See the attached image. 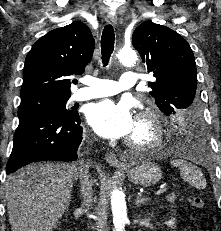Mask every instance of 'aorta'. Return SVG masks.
<instances>
[{
  "label": "aorta",
  "mask_w": 221,
  "mask_h": 231,
  "mask_svg": "<svg viewBox=\"0 0 221 231\" xmlns=\"http://www.w3.org/2000/svg\"><path fill=\"white\" fill-rule=\"evenodd\" d=\"M115 59L123 65H134L137 61V54L132 48H122L115 55ZM111 207L114 231H124L127 222V207L124 194L117 189L111 193Z\"/></svg>",
  "instance_id": "obj_1"
}]
</instances>
